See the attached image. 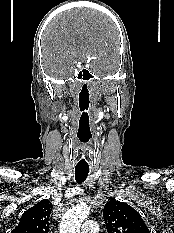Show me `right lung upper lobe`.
<instances>
[{"mask_svg": "<svg viewBox=\"0 0 174 233\" xmlns=\"http://www.w3.org/2000/svg\"><path fill=\"white\" fill-rule=\"evenodd\" d=\"M52 207L49 200H41L24 212L11 233H48Z\"/></svg>", "mask_w": 174, "mask_h": 233, "instance_id": "cb5924a9", "label": "right lung upper lobe"}]
</instances>
